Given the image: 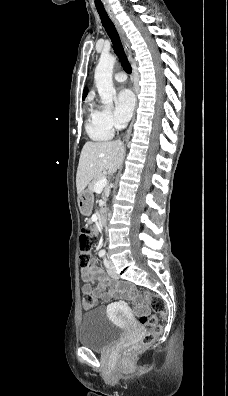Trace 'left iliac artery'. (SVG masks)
Segmentation results:
<instances>
[{"label":"left iliac artery","instance_id":"44dca946","mask_svg":"<svg viewBox=\"0 0 228 396\" xmlns=\"http://www.w3.org/2000/svg\"><path fill=\"white\" fill-rule=\"evenodd\" d=\"M104 264H105L106 266H108V262H107L106 258L104 259Z\"/></svg>","mask_w":228,"mask_h":396}]
</instances>
